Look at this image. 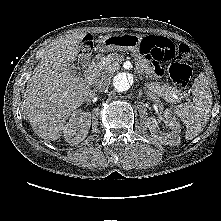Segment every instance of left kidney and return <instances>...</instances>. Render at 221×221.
Instances as JSON below:
<instances>
[{
    "instance_id": "left-kidney-1",
    "label": "left kidney",
    "mask_w": 221,
    "mask_h": 221,
    "mask_svg": "<svg viewBox=\"0 0 221 221\" xmlns=\"http://www.w3.org/2000/svg\"><path fill=\"white\" fill-rule=\"evenodd\" d=\"M165 120L164 123L169 127L171 132L169 133H161L158 135V122L154 117H149L147 120V127L151 132L152 137L159 141L163 145H179L181 143L180 137V124L176 121V118L171 116L168 110L165 112Z\"/></svg>"
}]
</instances>
